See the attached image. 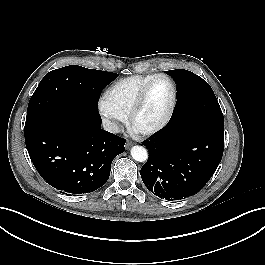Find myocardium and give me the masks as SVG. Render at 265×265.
<instances>
[{"mask_svg":"<svg viewBox=\"0 0 265 265\" xmlns=\"http://www.w3.org/2000/svg\"><path fill=\"white\" fill-rule=\"evenodd\" d=\"M166 79L170 82L171 87H172V100L170 103V106L168 108V111L166 113V115L164 116V118L157 123L156 125L150 127V128H146V129H137L135 127V120L137 115L139 114V112L141 111V109L143 108L146 99L148 97L149 91L152 88V86L154 85V83L158 80V79ZM177 98H178V91H177V85L175 83V81L173 80L172 77H170L167 74H156L141 90L140 94L138 95L135 103L133 104L130 113L128 115L129 117V124L130 126L137 131L139 134L143 135V136H152L155 135L159 132H161L163 129H165L167 127V125L170 123L176 106H177Z\"/></svg>","mask_w":265,"mask_h":265,"instance_id":"myocardium-1","label":"myocardium"}]
</instances>
